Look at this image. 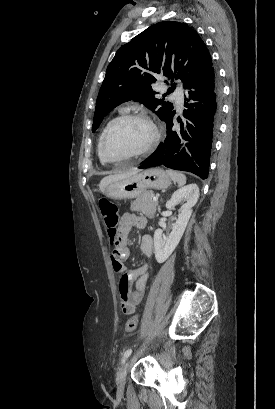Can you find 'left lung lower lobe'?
I'll use <instances>...</instances> for the list:
<instances>
[{
	"label": "left lung lower lobe",
	"mask_w": 275,
	"mask_h": 409,
	"mask_svg": "<svg viewBox=\"0 0 275 409\" xmlns=\"http://www.w3.org/2000/svg\"><path fill=\"white\" fill-rule=\"evenodd\" d=\"M185 88L192 89L185 98L187 109L183 112L191 123L187 122L185 129L182 123L180 131L173 130V110L165 120L166 139L139 168L164 165L207 179L213 137L222 114V86L213 64ZM190 100L196 102L189 104Z\"/></svg>",
	"instance_id": "obj_1"
}]
</instances>
